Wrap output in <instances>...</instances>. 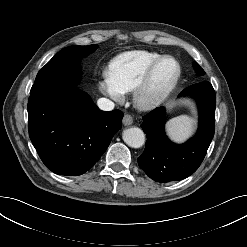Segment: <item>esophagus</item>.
I'll return each mask as SVG.
<instances>
[{
	"instance_id": "esophagus-1",
	"label": "esophagus",
	"mask_w": 247,
	"mask_h": 247,
	"mask_svg": "<svg viewBox=\"0 0 247 247\" xmlns=\"http://www.w3.org/2000/svg\"><path fill=\"white\" fill-rule=\"evenodd\" d=\"M133 123V118L131 115L129 114H125L124 117H123V124L125 126H129Z\"/></svg>"
}]
</instances>
